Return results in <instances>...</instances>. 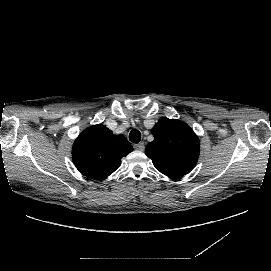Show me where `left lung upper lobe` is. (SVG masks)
I'll use <instances>...</instances> for the list:
<instances>
[{"label":"left lung upper lobe","instance_id":"1","mask_svg":"<svg viewBox=\"0 0 271 271\" xmlns=\"http://www.w3.org/2000/svg\"><path fill=\"white\" fill-rule=\"evenodd\" d=\"M154 140L145 154L162 174L179 178L189 173L197 163L200 142L193 130L184 122L162 118L152 129Z\"/></svg>","mask_w":271,"mask_h":271}]
</instances>
